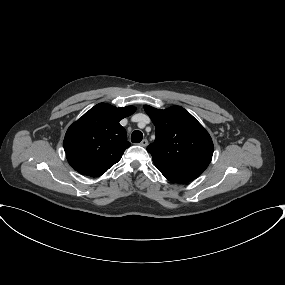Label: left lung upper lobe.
I'll use <instances>...</instances> for the list:
<instances>
[{
    "label": "left lung upper lobe",
    "instance_id": "1",
    "mask_svg": "<svg viewBox=\"0 0 285 285\" xmlns=\"http://www.w3.org/2000/svg\"><path fill=\"white\" fill-rule=\"evenodd\" d=\"M155 125L156 139L147 147L158 170L192 179L209 165L214 146L205 128L183 107L159 110L144 106Z\"/></svg>",
    "mask_w": 285,
    "mask_h": 285
}]
</instances>
